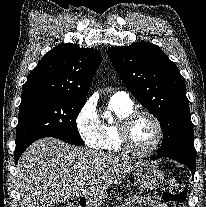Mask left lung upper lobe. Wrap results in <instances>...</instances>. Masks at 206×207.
<instances>
[{
	"label": "left lung upper lobe",
	"mask_w": 206,
	"mask_h": 207,
	"mask_svg": "<svg viewBox=\"0 0 206 207\" xmlns=\"http://www.w3.org/2000/svg\"><path fill=\"white\" fill-rule=\"evenodd\" d=\"M131 93L161 123L164 139L157 154L196 161L185 79L156 45L138 42L107 51Z\"/></svg>",
	"instance_id": "5c2ea615"
}]
</instances>
